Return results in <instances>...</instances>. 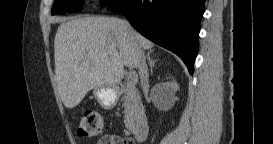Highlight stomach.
<instances>
[{"label":"stomach","mask_w":273,"mask_h":144,"mask_svg":"<svg viewBox=\"0 0 273 144\" xmlns=\"http://www.w3.org/2000/svg\"><path fill=\"white\" fill-rule=\"evenodd\" d=\"M99 105L107 110L113 109L119 99V90L113 87H97L93 91Z\"/></svg>","instance_id":"0dacf381"}]
</instances>
